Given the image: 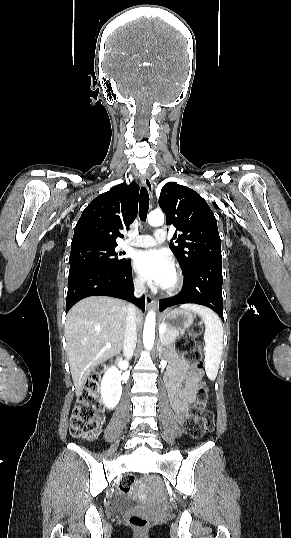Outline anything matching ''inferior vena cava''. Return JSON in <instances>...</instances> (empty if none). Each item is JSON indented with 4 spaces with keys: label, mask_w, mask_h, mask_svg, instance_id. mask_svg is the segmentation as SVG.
<instances>
[{
    "label": "inferior vena cava",
    "mask_w": 291,
    "mask_h": 538,
    "mask_svg": "<svg viewBox=\"0 0 291 538\" xmlns=\"http://www.w3.org/2000/svg\"><path fill=\"white\" fill-rule=\"evenodd\" d=\"M135 296H142L146 289L144 282L136 280L134 282ZM137 342V309L134 305L129 304L126 319L125 336L123 344V353L127 360L131 359Z\"/></svg>",
    "instance_id": "inferior-vena-cava-1"
}]
</instances>
